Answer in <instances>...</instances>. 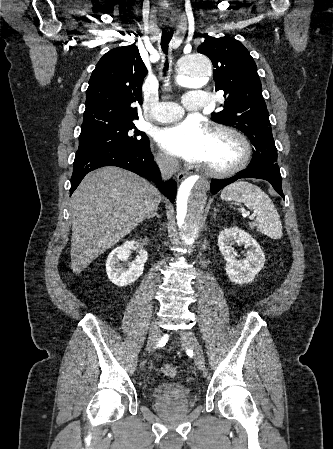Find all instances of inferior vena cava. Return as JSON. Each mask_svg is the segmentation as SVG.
I'll return each mask as SVG.
<instances>
[{"mask_svg": "<svg viewBox=\"0 0 333 449\" xmlns=\"http://www.w3.org/2000/svg\"><path fill=\"white\" fill-rule=\"evenodd\" d=\"M163 180L171 178L178 170L177 159L162 155L156 159Z\"/></svg>", "mask_w": 333, "mask_h": 449, "instance_id": "obj_1", "label": "inferior vena cava"}]
</instances>
